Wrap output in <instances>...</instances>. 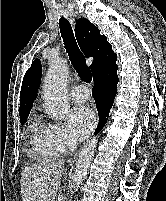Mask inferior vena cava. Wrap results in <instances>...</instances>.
Segmentation results:
<instances>
[{"instance_id":"obj_1","label":"inferior vena cava","mask_w":166,"mask_h":201,"mask_svg":"<svg viewBox=\"0 0 166 201\" xmlns=\"http://www.w3.org/2000/svg\"><path fill=\"white\" fill-rule=\"evenodd\" d=\"M76 148H77L76 144H73L71 147V152H74L76 150Z\"/></svg>"}]
</instances>
